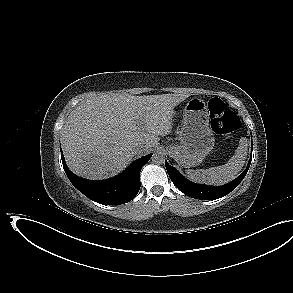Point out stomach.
I'll return each instance as SVG.
<instances>
[{
	"mask_svg": "<svg viewBox=\"0 0 293 293\" xmlns=\"http://www.w3.org/2000/svg\"><path fill=\"white\" fill-rule=\"evenodd\" d=\"M213 135L206 103L199 98H192L184 108L183 126L179 132L180 144L169 146L168 152L185 168L197 166L213 149Z\"/></svg>",
	"mask_w": 293,
	"mask_h": 293,
	"instance_id": "obj_1",
	"label": "stomach"
}]
</instances>
